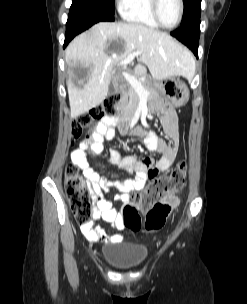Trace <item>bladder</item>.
<instances>
[{
	"label": "bladder",
	"mask_w": 247,
	"mask_h": 304,
	"mask_svg": "<svg viewBox=\"0 0 247 304\" xmlns=\"http://www.w3.org/2000/svg\"><path fill=\"white\" fill-rule=\"evenodd\" d=\"M148 256L144 246L124 243H109L102 249V258L118 270H130L140 267Z\"/></svg>",
	"instance_id": "bladder-1"
}]
</instances>
